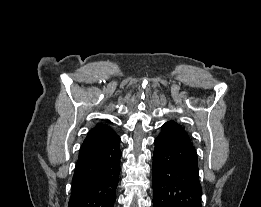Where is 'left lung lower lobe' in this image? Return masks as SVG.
I'll return each mask as SVG.
<instances>
[{
    "label": "left lung lower lobe",
    "instance_id": "0a47b994",
    "mask_svg": "<svg viewBox=\"0 0 261 207\" xmlns=\"http://www.w3.org/2000/svg\"><path fill=\"white\" fill-rule=\"evenodd\" d=\"M154 143V207H202L198 155L185 129L168 121Z\"/></svg>",
    "mask_w": 261,
    "mask_h": 207
}]
</instances>
